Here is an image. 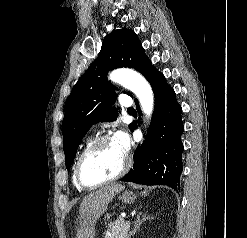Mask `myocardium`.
<instances>
[{"mask_svg":"<svg viewBox=\"0 0 247 238\" xmlns=\"http://www.w3.org/2000/svg\"><path fill=\"white\" fill-rule=\"evenodd\" d=\"M112 140V137L109 135H102L94 139L89 146L81 153L79 156L76 166H75V178L77 183L84 189H90V188H96L99 186H102L104 184L110 183L112 181H115L119 178H121L123 175H125L131 166V158L128 154H125V161L123 164V167L120 169L118 173L115 175L108 177L106 179L97 181V182H87L82 175V167L85 163V161L88 159L89 156H91L103 143Z\"/></svg>","mask_w":247,"mask_h":238,"instance_id":"f54148a6","label":"myocardium"}]
</instances>
